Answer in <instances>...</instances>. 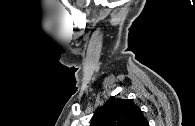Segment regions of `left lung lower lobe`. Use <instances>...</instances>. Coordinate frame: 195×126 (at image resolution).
<instances>
[{
	"label": "left lung lower lobe",
	"instance_id": "0a47b994",
	"mask_svg": "<svg viewBox=\"0 0 195 126\" xmlns=\"http://www.w3.org/2000/svg\"><path fill=\"white\" fill-rule=\"evenodd\" d=\"M145 126H149V125H148V122H147V124H146Z\"/></svg>",
	"mask_w": 195,
	"mask_h": 126
}]
</instances>
